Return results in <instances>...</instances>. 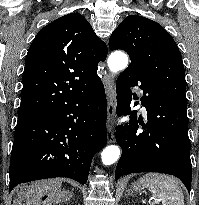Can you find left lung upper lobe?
<instances>
[{"instance_id": "left-lung-upper-lobe-1", "label": "left lung upper lobe", "mask_w": 199, "mask_h": 205, "mask_svg": "<svg viewBox=\"0 0 199 205\" xmlns=\"http://www.w3.org/2000/svg\"><path fill=\"white\" fill-rule=\"evenodd\" d=\"M111 50L129 54L144 83L159 93L187 103L185 71L181 53L174 39L158 23L130 15L109 39Z\"/></svg>"}]
</instances>
